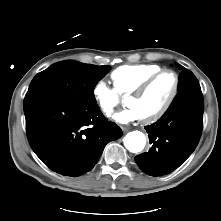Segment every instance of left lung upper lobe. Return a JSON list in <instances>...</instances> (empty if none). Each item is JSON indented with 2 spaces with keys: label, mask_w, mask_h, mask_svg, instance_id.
I'll list each match as a JSON object with an SVG mask.
<instances>
[{
  "label": "left lung upper lobe",
  "mask_w": 221,
  "mask_h": 221,
  "mask_svg": "<svg viewBox=\"0 0 221 221\" xmlns=\"http://www.w3.org/2000/svg\"><path fill=\"white\" fill-rule=\"evenodd\" d=\"M176 66L182 70L185 69L183 66H181L178 63H176ZM178 88H179V93L176 95L171 105H173L175 102H177L182 97H184L185 94L192 91L193 88H200V86L198 84V80L193 75V73L188 71L181 74Z\"/></svg>",
  "instance_id": "left-lung-upper-lobe-1"
}]
</instances>
